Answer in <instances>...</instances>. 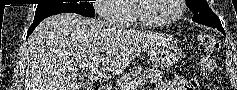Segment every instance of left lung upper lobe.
Segmentation results:
<instances>
[{"mask_svg": "<svg viewBox=\"0 0 237 90\" xmlns=\"http://www.w3.org/2000/svg\"><path fill=\"white\" fill-rule=\"evenodd\" d=\"M186 4L194 13L193 21L224 31L219 18L209 8L206 0H186Z\"/></svg>", "mask_w": 237, "mask_h": 90, "instance_id": "obj_1", "label": "left lung upper lobe"}]
</instances>
